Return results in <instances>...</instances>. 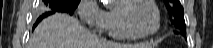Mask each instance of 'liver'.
<instances>
[{
    "label": "liver",
    "instance_id": "liver-1",
    "mask_svg": "<svg viewBox=\"0 0 213 48\" xmlns=\"http://www.w3.org/2000/svg\"><path fill=\"white\" fill-rule=\"evenodd\" d=\"M28 48H146L147 44H122L100 39L67 14L41 21L30 36Z\"/></svg>",
    "mask_w": 213,
    "mask_h": 48
}]
</instances>
